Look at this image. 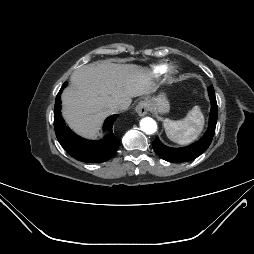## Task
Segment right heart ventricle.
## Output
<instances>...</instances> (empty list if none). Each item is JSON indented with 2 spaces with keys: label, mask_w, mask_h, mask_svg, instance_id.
Here are the masks:
<instances>
[{
  "label": "right heart ventricle",
  "mask_w": 254,
  "mask_h": 254,
  "mask_svg": "<svg viewBox=\"0 0 254 254\" xmlns=\"http://www.w3.org/2000/svg\"><path fill=\"white\" fill-rule=\"evenodd\" d=\"M167 70V66L165 64L156 65L152 69V73L155 76H161L163 75Z\"/></svg>",
  "instance_id": "obj_1"
}]
</instances>
